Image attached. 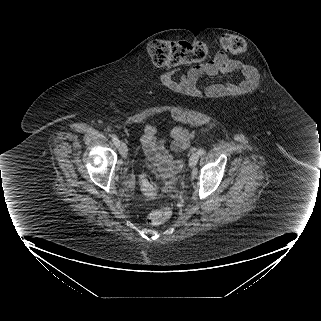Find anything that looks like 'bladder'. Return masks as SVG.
<instances>
[{
    "instance_id": "31cf9c89",
    "label": "bladder",
    "mask_w": 321,
    "mask_h": 321,
    "mask_svg": "<svg viewBox=\"0 0 321 321\" xmlns=\"http://www.w3.org/2000/svg\"><path fill=\"white\" fill-rule=\"evenodd\" d=\"M145 166L156 173H161V171L156 168L155 162L148 156H146Z\"/></svg>"
}]
</instances>
